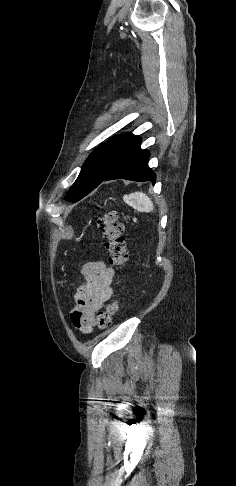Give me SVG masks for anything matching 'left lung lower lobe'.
<instances>
[{
    "label": "left lung lower lobe",
    "mask_w": 236,
    "mask_h": 486,
    "mask_svg": "<svg viewBox=\"0 0 236 486\" xmlns=\"http://www.w3.org/2000/svg\"><path fill=\"white\" fill-rule=\"evenodd\" d=\"M140 144L138 138L102 181L127 179L155 183L156 175L148 166L149 152L142 150Z\"/></svg>",
    "instance_id": "1"
}]
</instances>
